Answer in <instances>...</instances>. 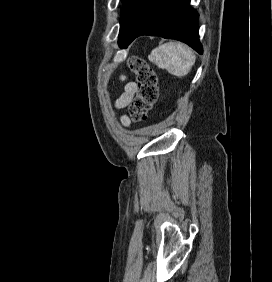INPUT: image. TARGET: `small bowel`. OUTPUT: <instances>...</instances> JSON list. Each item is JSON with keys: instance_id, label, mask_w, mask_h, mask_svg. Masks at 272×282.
<instances>
[{"instance_id": "c3829d8e", "label": "small bowel", "mask_w": 272, "mask_h": 282, "mask_svg": "<svg viewBox=\"0 0 272 282\" xmlns=\"http://www.w3.org/2000/svg\"><path fill=\"white\" fill-rule=\"evenodd\" d=\"M136 89H137V84L135 82L133 81L126 82L123 92L115 101V107L120 110L128 107L136 93ZM120 121L124 126L130 125V120L127 115H122Z\"/></svg>"}]
</instances>
